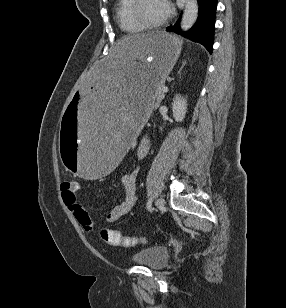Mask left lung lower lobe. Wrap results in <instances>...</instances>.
Instances as JSON below:
<instances>
[{
  "label": "left lung lower lobe",
  "instance_id": "left-lung-lower-lobe-1",
  "mask_svg": "<svg viewBox=\"0 0 286 308\" xmlns=\"http://www.w3.org/2000/svg\"><path fill=\"white\" fill-rule=\"evenodd\" d=\"M197 2L199 5L198 18L188 32H181L180 19L174 26L167 27L166 30L180 33L195 42H199L212 53L217 0H197Z\"/></svg>",
  "mask_w": 286,
  "mask_h": 308
}]
</instances>
